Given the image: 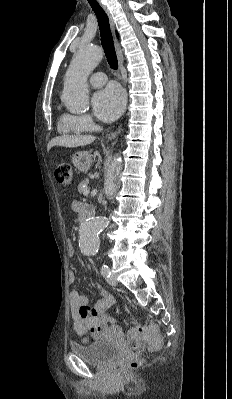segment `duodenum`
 Here are the masks:
<instances>
[{"mask_svg": "<svg viewBox=\"0 0 232 399\" xmlns=\"http://www.w3.org/2000/svg\"><path fill=\"white\" fill-rule=\"evenodd\" d=\"M85 219H86V217L83 216V217L81 218V222L85 221Z\"/></svg>", "mask_w": 232, "mask_h": 399, "instance_id": "410a0bca", "label": "duodenum"}]
</instances>
